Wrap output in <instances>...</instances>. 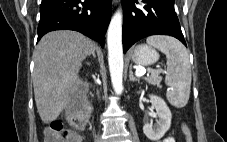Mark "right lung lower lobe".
Returning <instances> with one entry per match:
<instances>
[{"mask_svg":"<svg viewBox=\"0 0 227 142\" xmlns=\"http://www.w3.org/2000/svg\"><path fill=\"white\" fill-rule=\"evenodd\" d=\"M38 40L59 29L81 32L104 47L111 18V0H42Z\"/></svg>","mask_w":227,"mask_h":142,"instance_id":"1","label":"right lung lower lobe"}]
</instances>
